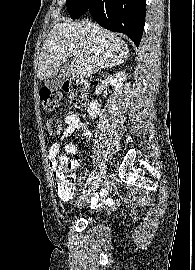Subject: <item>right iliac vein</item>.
<instances>
[{"mask_svg": "<svg viewBox=\"0 0 195 270\" xmlns=\"http://www.w3.org/2000/svg\"><path fill=\"white\" fill-rule=\"evenodd\" d=\"M105 174H106V170L104 167H102L100 172L97 174L96 178L94 179V181L91 183L88 191L80 197L79 201L76 204L77 207H80L84 202H86L89 196L93 194L99 188V186L103 183Z\"/></svg>", "mask_w": 195, "mask_h": 270, "instance_id": "obj_1", "label": "right iliac vein"}]
</instances>
